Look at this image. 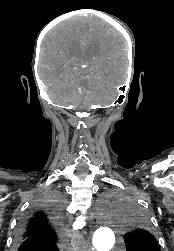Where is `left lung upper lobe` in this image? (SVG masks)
<instances>
[{"mask_svg":"<svg viewBox=\"0 0 174 251\" xmlns=\"http://www.w3.org/2000/svg\"><path fill=\"white\" fill-rule=\"evenodd\" d=\"M127 210V217L133 221L134 228L124 236L126 251H160L147 219L136 206L131 205Z\"/></svg>","mask_w":174,"mask_h":251,"instance_id":"obj_1","label":"left lung upper lobe"}]
</instances>
